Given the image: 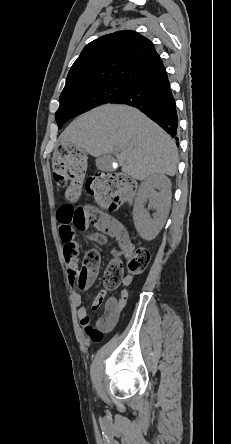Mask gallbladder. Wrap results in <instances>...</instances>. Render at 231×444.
Returning a JSON list of instances; mask_svg holds the SVG:
<instances>
[{"label": "gallbladder", "instance_id": "gallbladder-1", "mask_svg": "<svg viewBox=\"0 0 231 444\" xmlns=\"http://www.w3.org/2000/svg\"><path fill=\"white\" fill-rule=\"evenodd\" d=\"M106 159H109V157L106 156V155H103V156H101V157H99V158L97 159V161H96V165H97V168H98V169H100V170L112 169L111 167H106V166H104L103 162H104ZM111 161H112V160H111Z\"/></svg>", "mask_w": 231, "mask_h": 444}]
</instances>
